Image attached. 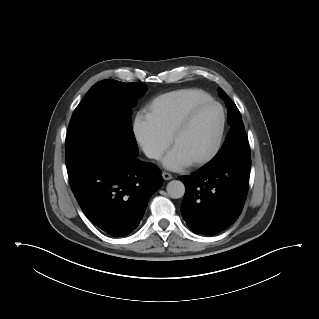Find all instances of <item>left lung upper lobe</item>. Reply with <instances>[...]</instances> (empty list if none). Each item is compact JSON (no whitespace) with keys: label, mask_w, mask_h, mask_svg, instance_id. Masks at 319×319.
<instances>
[{"label":"left lung upper lobe","mask_w":319,"mask_h":319,"mask_svg":"<svg viewBox=\"0 0 319 319\" xmlns=\"http://www.w3.org/2000/svg\"><path fill=\"white\" fill-rule=\"evenodd\" d=\"M219 91L221 97L225 100L228 109V124L230 125V132L226 136L225 142L218 154L212 161H218L229 155H250L248 138L245 133L241 114L229 96L222 89H219Z\"/></svg>","instance_id":"5c2ea615"}]
</instances>
